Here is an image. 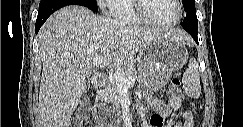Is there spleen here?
Instances as JSON below:
<instances>
[{
	"label": "spleen",
	"instance_id": "obj_1",
	"mask_svg": "<svg viewBox=\"0 0 243 127\" xmlns=\"http://www.w3.org/2000/svg\"><path fill=\"white\" fill-rule=\"evenodd\" d=\"M183 88L191 98H199L201 94L199 64L195 58L190 59L188 69L183 73Z\"/></svg>",
	"mask_w": 243,
	"mask_h": 127
}]
</instances>
